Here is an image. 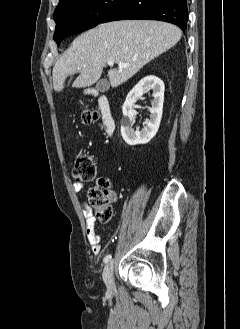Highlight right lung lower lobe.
Segmentation results:
<instances>
[{"instance_id": "1", "label": "right lung lower lobe", "mask_w": 240, "mask_h": 329, "mask_svg": "<svg viewBox=\"0 0 240 329\" xmlns=\"http://www.w3.org/2000/svg\"><path fill=\"white\" fill-rule=\"evenodd\" d=\"M126 19L165 21L184 32L188 21L187 0H125L101 23Z\"/></svg>"}]
</instances>
